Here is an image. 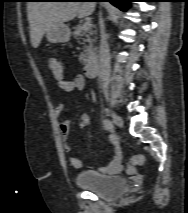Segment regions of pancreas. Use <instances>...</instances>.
<instances>
[{
    "instance_id": "pancreas-1",
    "label": "pancreas",
    "mask_w": 188,
    "mask_h": 213,
    "mask_svg": "<svg viewBox=\"0 0 188 213\" xmlns=\"http://www.w3.org/2000/svg\"><path fill=\"white\" fill-rule=\"evenodd\" d=\"M94 33L95 31L92 29V25L89 29L85 30L81 24L77 25L73 32L74 38L85 45L79 57V61L84 65L96 57L97 48L93 44L96 40L91 38Z\"/></svg>"
}]
</instances>
